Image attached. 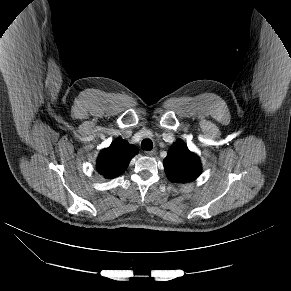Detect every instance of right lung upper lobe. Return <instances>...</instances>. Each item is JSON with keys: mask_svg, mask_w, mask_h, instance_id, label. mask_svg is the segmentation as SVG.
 <instances>
[{"mask_svg": "<svg viewBox=\"0 0 291 291\" xmlns=\"http://www.w3.org/2000/svg\"><path fill=\"white\" fill-rule=\"evenodd\" d=\"M137 153L136 146L117 138L108 148L101 150L97 159V171L107 179L115 178L126 170Z\"/></svg>", "mask_w": 291, "mask_h": 291, "instance_id": "obj_1", "label": "right lung upper lobe"}]
</instances>
